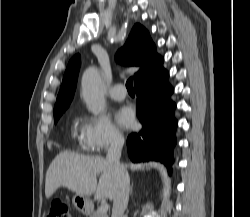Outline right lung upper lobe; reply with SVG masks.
<instances>
[{
	"label": "right lung upper lobe",
	"instance_id": "right-lung-upper-lobe-1",
	"mask_svg": "<svg viewBox=\"0 0 250 217\" xmlns=\"http://www.w3.org/2000/svg\"><path fill=\"white\" fill-rule=\"evenodd\" d=\"M116 58L127 66H140V70L134 75V82L161 59L156 53L148 31L140 24L134 25L128 40L118 51ZM79 67L80 55L77 54L72 57L66 68L54 113L65 111L69 107L76 89Z\"/></svg>",
	"mask_w": 250,
	"mask_h": 217
}]
</instances>
